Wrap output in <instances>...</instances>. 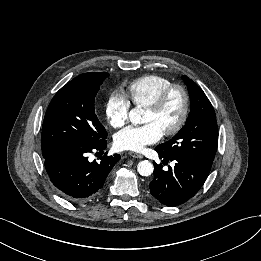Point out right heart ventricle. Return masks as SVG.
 <instances>
[{
	"instance_id": "1",
	"label": "right heart ventricle",
	"mask_w": 261,
	"mask_h": 261,
	"mask_svg": "<svg viewBox=\"0 0 261 261\" xmlns=\"http://www.w3.org/2000/svg\"><path fill=\"white\" fill-rule=\"evenodd\" d=\"M170 85L172 82L165 77L145 75L133 80L127 86L126 95L135 106L147 107Z\"/></svg>"
}]
</instances>
